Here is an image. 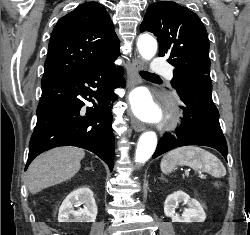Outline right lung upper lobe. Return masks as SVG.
Returning a JSON list of instances; mask_svg holds the SVG:
<instances>
[{
  "mask_svg": "<svg viewBox=\"0 0 250 235\" xmlns=\"http://www.w3.org/2000/svg\"><path fill=\"white\" fill-rule=\"evenodd\" d=\"M119 47L105 8L97 2L83 3L54 27L42 81L75 75L119 56Z\"/></svg>",
  "mask_w": 250,
  "mask_h": 235,
  "instance_id": "right-lung-upper-lobe-1",
  "label": "right lung upper lobe"
}]
</instances>
